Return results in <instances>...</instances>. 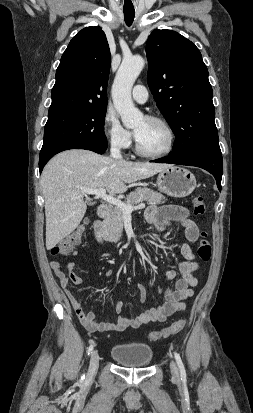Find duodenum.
<instances>
[{
	"instance_id": "410a0bca",
	"label": "duodenum",
	"mask_w": 253,
	"mask_h": 413,
	"mask_svg": "<svg viewBox=\"0 0 253 413\" xmlns=\"http://www.w3.org/2000/svg\"><path fill=\"white\" fill-rule=\"evenodd\" d=\"M112 214V208L107 204H102L98 208V216L100 220L94 223V234L99 242L104 241V235L102 231V220L108 219Z\"/></svg>"
}]
</instances>
